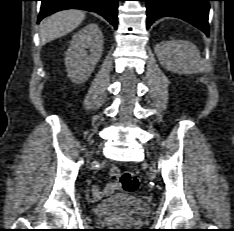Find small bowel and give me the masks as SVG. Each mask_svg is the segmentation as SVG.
<instances>
[{"instance_id":"c3829d8e","label":"small bowel","mask_w":234,"mask_h":231,"mask_svg":"<svg viewBox=\"0 0 234 231\" xmlns=\"http://www.w3.org/2000/svg\"><path fill=\"white\" fill-rule=\"evenodd\" d=\"M113 169H111L112 172ZM120 185L115 182L111 181L108 184H106L103 188H100L98 185H93L91 189V194L93 199L100 200L104 197H108L115 193L117 190H119Z\"/></svg>"}]
</instances>
